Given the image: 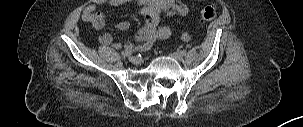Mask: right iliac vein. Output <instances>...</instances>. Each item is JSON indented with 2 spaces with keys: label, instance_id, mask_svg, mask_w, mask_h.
Wrapping results in <instances>:
<instances>
[{
  "label": "right iliac vein",
  "instance_id": "right-iliac-vein-1",
  "mask_svg": "<svg viewBox=\"0 0 303 127\" xmlns=\"http://www.w3.org/2000/svg\"><path fill=\"white\" fill-rule=\"evenodd\" d=\"M129 61L135 65H138L141 63V59L137 56H131L129 57Z\"/></svg>",
  "mask_w": 303,
  "mask_h": 127
}]
</instances>
